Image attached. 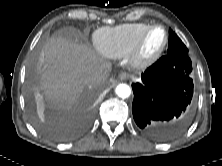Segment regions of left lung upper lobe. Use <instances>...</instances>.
Listing matches in <instances>:
<instances>
[{"mask_svg":"<svg viewBox=\"0 0 222 166\" xmlns=\"http://www.w3.org/2000/svg\"><path fill=\"white\" fill-rule=\"evenodd\" d=\"M174 53L188 55V49L175 32L169 29V47L167 54Z\"/></svg>","mask_w":222,"mask_h":166,"instance_id":"obj_1","label":"left lung upper lobe"}]
</instances>
